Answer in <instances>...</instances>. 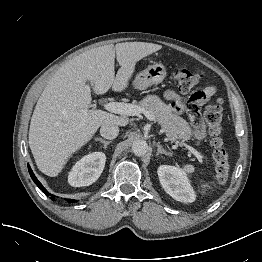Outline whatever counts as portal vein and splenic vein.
I'll list each match as a JSON object with an SVG mask.
<instances>
[{
	"mask_svg": "<svg viewBox=\"0 0 262 262\" xmlns=\"http://www.w3.org/2000/svg\"><path fill=\"white\" fill-rule=\"evenodd\" d=\"M104 109L115 113V114H121V115H129V116H134V115H138L141 112H145L140 106H136L133 104H128V103H121V102H108L105 103L104 105ZM146 116L149 119H154L153 116L149 113V112H145ZM183 145H185V147L193 154L195 155L199 160L202 159L201 154L196 151L195 149H193L191 146L186 145L183 143Z\"/></svg>",
	"mask_w": 262,
	"mask_h": 262,
	"instance_id": "obj_1",
	"label": "portal vein and splenic vein"
}]
</instances>
